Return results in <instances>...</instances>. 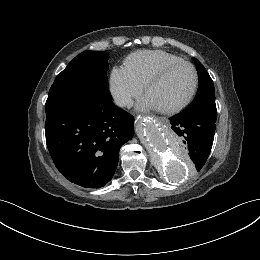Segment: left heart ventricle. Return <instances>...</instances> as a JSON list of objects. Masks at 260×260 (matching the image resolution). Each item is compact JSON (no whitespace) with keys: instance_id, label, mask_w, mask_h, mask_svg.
Returning a JSON list of instances; mask_svg holds the SVG:
<instances>
[{"instance_id":"obj_1","label":"left heart ventricle","mask_w":260,"mask_h":260,"mask_svg":"<svg viewBox=\"0 0 260 260\" xmlns=\"http://www.w3.org/2000/svg\"><path fill=\"white\" fill-rule=\"evenodd\" d=\"M191 82V71L186 65L169 70L147 92V95L159 107L170 105L186 93Z\"/></svg>"}]
</instances>
